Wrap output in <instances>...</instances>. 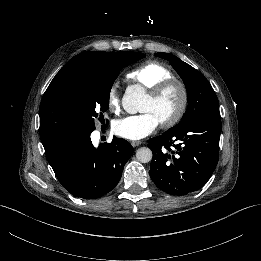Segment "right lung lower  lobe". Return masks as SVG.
<instances>
[{
	"mask_svg": "<svg viewBox=\"0 0 261 261\" xmlns=\"http://www.w3.org/2000/svg\"><path fill=\"white\" fill-rule=\"evenodd\" d=\"M61 185L74 197L95 199L110 192L119 182L133 147L113 137L95 148L90 134L69 136L45 152Z\"/></svg>",
	"mask_w": 261,
	"mask_h": 261,
	"instance_id": "1",
	"label": "right lung lower lobe"
}]
</instances>
